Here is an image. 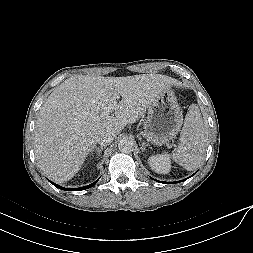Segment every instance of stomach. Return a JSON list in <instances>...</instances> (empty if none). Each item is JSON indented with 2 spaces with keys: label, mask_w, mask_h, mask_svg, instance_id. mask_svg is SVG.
<instances>
[{
  "label": "stomach",
  "mask_w": 253,
  "mask_h": 253,
  "mask_svg": "<svg viewBox=\"0 0 253 253\" xmlns=\"http://www.w3.org/2000/svg\"><path fill=\"white\" fill-rule=\"evenodd\" d=\"M182 125V114L171 88L165 89L148 108L144 120V136L154 145H165L173 140Z\"/></svg>",
  "instance_id": "1"
}]
</instances>
